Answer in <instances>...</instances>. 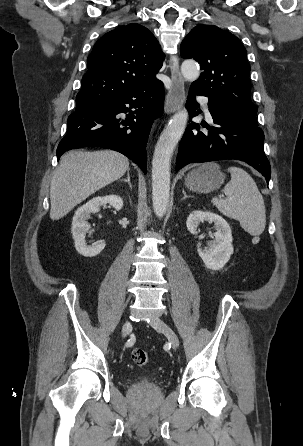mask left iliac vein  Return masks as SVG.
Here are the masks:
<instances>
[{"label":"left iliac vein","instance_id":"1","mask_svg":"<svg viewBox=\"0 0 303 446\" xmlns=\"http://www.w3.org/2000/svg\"><path fill=\"white\" fill-rule=\"evenodd\" d=\"M150 324L154 329L162 332L167 337L169 343L172 345L174 349H177L179 347V339L176 333L163 320H161L158 317H155L151 320Z\"/></svg>","mask_w":303,"mask_h":446}]
</instances>
